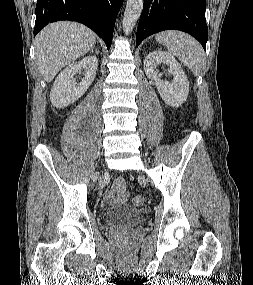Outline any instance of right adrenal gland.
<instances>
[{"mask_svg": "<svg viewBox=\"0 0 253 285\" xmlns=\"http://www.w3.org/2000/svg\"><path fill=\"white\" fill-rule=\"evenodd\" d=\"M96 52V53H99V51H98V49H96L95 47H93L92 49H91V52Z\"/></svg>", "mask_w": 253, "mask_h": 285, "instance_id": "right-adrenal-gland-1", "label": "right adrenal gland"}]
</instances>
